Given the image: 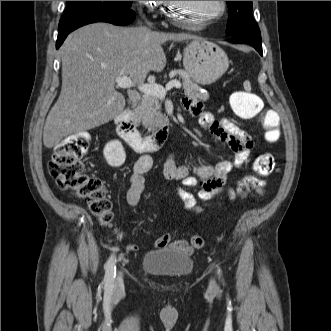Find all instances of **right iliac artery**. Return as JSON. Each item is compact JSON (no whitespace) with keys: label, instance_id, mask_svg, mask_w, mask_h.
Returning a JSON list of instances; mask_svg holds the SVG:
<instances>
[{"label":"right iliac artery","instance_id":"82829eb1","mask_svg":"<svg viewBox=\"0 0 331 331\" xmlns=\"http://www.w3.org/2000/svg\"><path fill=\"white\" fill-rule=\"evenodd\" d=\"M113 251H115V249ZM105 269V288L106 290L111 291L114 287V279L116 276V259L114 254H112L106 262Z\"/></svg>","mask_w":331,"mask_h":331}]
</instances>
